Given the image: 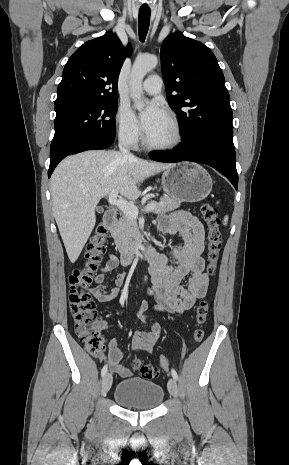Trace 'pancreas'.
<instances>
[{
	"instance_id": "obj_1",
	"label": "pancreas",
	"mask_w": 289,
	"mask_h": 465,
	"mask_svg": "<svg viewBox=\"0 0 289 465\" xmlns=\"http://www.w3.org/2000/svg\"><path fill=\"white\" fill-rule=\"evenodd\" d=\"M153 195L148 194L145 197L151 198ZM149 204H155L156 208L153 210L155 214H163L179 208L180 203L167 196L160 198V203L151 201ZM115 245L120 252L132 250L135 244L141 242L142 236L140 234L136 219H131L125 214L116 223L112 232Z\"/></svg>"
}]
</instances>
